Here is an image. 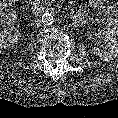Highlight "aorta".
Masks as SVG:
<instances>
[{
  "instance_id": "aorta-1",
  "label": "aorta",
  "mask_w": 118,
  "mask_h": 118,
  "mask_svg": "<svg viewBox=\"0 0 118 118\" xmlns=\"http://www.w3.org/2000/svg\"><path fill=\"white\" fill-rule=\"evenodd\" d=\"M54 21H55V19L51 13L47 12L42 15V22L44 25L49 26V25L53 24Z\"/></svg>"
}]
</instances>
